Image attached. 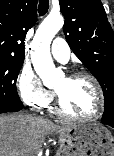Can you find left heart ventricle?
<instances>
[{
  "label": "left heart ventricle",
  "mask_w": 114,
  "mask_h": 156,
  "mask_svg": "<svg viewBox=\"0 0 114 156\" xmlns=\"http://www.w3.org/2000/svg\"><path fill=\"white\" fill-rule=\"evenodd\" d=\"M60 95L64 109L71 115L87 117L98 107L97 94L87 78H61L54 88Z\"/></svg>",
  "instance_id": "obj_1"
}]
</instances>
